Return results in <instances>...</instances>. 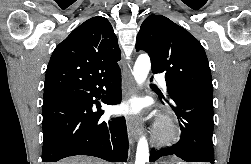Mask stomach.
Listing matches in <instances>:
<instances>
[{
    "instance_id": "obj_1",
    "label": "stomach",
    "mask_w": 251,
    "mask_h": 164,
    "mask_svg": "<svg viewBox=\"0 0 251 164\" xmlns=\"http://www.w3.org/2000/svg\"><path fill=\"white\" fill-rule=\"evenodd\" d=\"M163 164H167V163H163ZM170 164H173V163H170ZM176 164H186V163L181 162V163H176Z\"/></svg>"
}]
</instances>
